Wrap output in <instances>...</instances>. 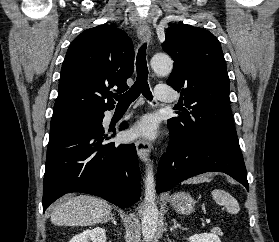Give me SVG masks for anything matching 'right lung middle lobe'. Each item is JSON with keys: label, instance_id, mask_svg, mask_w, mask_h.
Here are the masks:
<instances>
[{"label": "right lung middle lobe", "instance_id": "right-lung-middle-lobe-1", "mask_svg": "<svg viewBox=\"0 0 279 242\" xmlns=\"http://www.w3.org/2000/svg\"><path fill=\"white\" fill-rule=\"evenodd\" d=\"M100 114L96 112H74L54 116L50 125V139L71 131L88 129L90 128V121Z\"/></svg>", "mask_w": 279, "mask_h": 242}]
</instances>
